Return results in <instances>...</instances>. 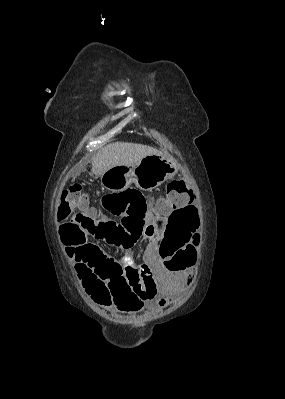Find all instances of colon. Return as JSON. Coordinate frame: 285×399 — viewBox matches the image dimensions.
Wrapping results in <instances>:
<instances>
[{"label":"colon","mask_w":285,"mask_h":399,"mask_svg":"<svg viewBox=\"0 0 285 399\" xmlns=\"http://www.w3.org/2000/svg\"><path fill=\"white\" fill-rule=\"evenodd\" d=\"M190 189L191 186L185 181L173 180L167 184V196L160 200L159 206L163 208L173 205L175 208L169 223L162 225L165 230L172 224L183 223L191 218L189 207L176 203V198ZM100 208L119 215L120 220L105 221L99 217ZM57 215L62 222L60 231L63 242L76 245L79 256L87 261L75 269L82 288L101 294L107 301L108 289L110 286L114 287V284L105 281L106 275L100 269L103 254L99 249L95 250L84 243L98 239L115 248L131 250L144 235V230L149 224L146 200L132 191H125L119 194H105L99 205H96L84 193L83 186L74 183L62 190ZM98 218L101 222H98ZM189 264L190 261L184 255L183 242L166 241L157 248L152 265H139L138 277L114 287V293L123 305L135 306L140 298L149 299L157 294V275L184 270Z\"/></svg>","instance_id":"1"}]
</instances>
